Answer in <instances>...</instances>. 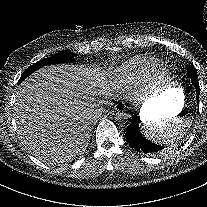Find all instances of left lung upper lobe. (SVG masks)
<instances>
[{
  "instance_id": "obj_1",
  "label": "left lung upper lobe",
  "mask_w": 207,
  "mask_h": 207,
  "mask_svg": "<svg viewBox=\"0 0 207 207\" xmlns=\"http://www.w3.org/2000/svg\"><path fill=\"white\" fill-rule=\"evenodd\" d=\"M187 75H188L189 78H192L193 76H197V72H196V69H195L193 64H191L189 66L188 74Z\"/></svg>"
}]
</instances>
